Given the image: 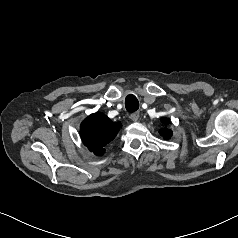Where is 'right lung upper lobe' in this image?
<instances>
[{
    "mask_svg": "<svg viewBox=\"0 0 238 238\" xmlns=\"http://www.w3.org/2000/svg\"><path fill=\"white\" fill-rule=\"evenodd\" d=\"M121 127L120 122H112L102 113L89 115L80 126L81 139L95 155L105 152V146L115 138Z\"/></svg>",
    "mask_w": 238,
    "mask_h": 238,
    "instance_id": "right-lung-upper-lobe-1",
    "label": "right lung upper lobe"
}]
</instances>
